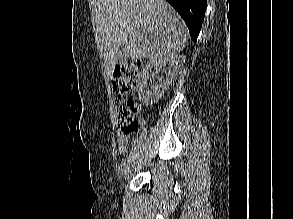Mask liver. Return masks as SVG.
<instances>
[{
    "mask_svg": "<svg viewBox=\"0 0 293 219\" xmlns=\"http://www.w3.org/2000/svg\"><path fill=\"white\" fill-rule=\"evenodd\" d=\"M93 30L108 74L123 45L132 59L176 55L184 48L187 27L165 0H97Z\"/></svg>",
    "mask_w": 293,
    "mask_h": 219,
    "instance_id": "1",
    "label": "liver"
}]
</instances>
